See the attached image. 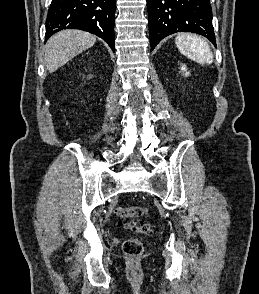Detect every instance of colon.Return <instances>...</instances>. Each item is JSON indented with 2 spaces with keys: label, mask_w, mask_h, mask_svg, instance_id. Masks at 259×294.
Here are the masks:
<instances>
[{
  "label": "colon",
  "mask_w": 259,
  "mask_h": 294,
  "mask_svg": "<svg viewBox=\"0 0 259 294\" xmlns=\"http://www.w3.org/2000/svg\"><path fill=\"white\" fill-rule=\"evenodd\" d=\"M147 212L142 206L117 207L115 214L121 218H140ZM128 230L148 234L151 232V225L143 221H129L123 224ZM145 249V244L137 238H130L123 242V253L130 257L140 256Z\"/></svg>",
  "instance_id": "obj_1"
}]
</instances>
